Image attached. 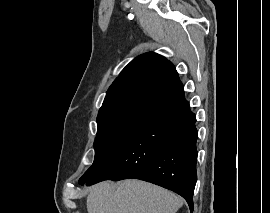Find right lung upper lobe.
<instances>
[{"label": "right lung upper lobe", "instance_id": "obj_1", "mask_svg": "<svg viewBox=\"0 0 270 213\" xmlns=\"http://www.w3.org/2000/svg\"><path fill=\"white\" fill-rule=\"evenodd\" d=\"M182 90L173 64L157 53H145L133 59L112 83L98 115L135 102L157 105Z\"/></svg>", "mask_w": 270, "mask_h": 213}]
</instances>
